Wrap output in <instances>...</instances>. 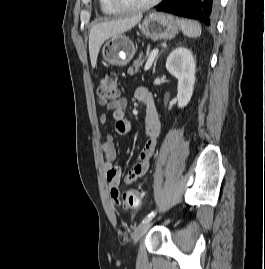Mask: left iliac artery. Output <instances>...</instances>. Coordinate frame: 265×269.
I'll list each match as a JSON object with an SVG mask.
<instances>
[{"label": "left iliac artery", "mask_w": 265, "mask_h": 269, "mask_svg": "<svg viewBox=\"0 0 265 269\" xmlns=\"http://www.w3.org/2000/svg\"><path fill=\"white\" fill-rule=\"evenodd\" d=\"M155 216V212H151L150 214H148L143 220L142 223H146L149 222L150 220H152V218Z\"/></svg>", "instance_id": "left-iliac-artery-1"}]
</instances>
